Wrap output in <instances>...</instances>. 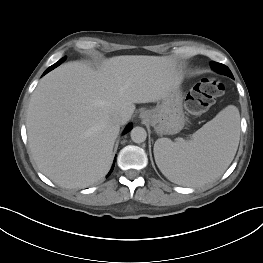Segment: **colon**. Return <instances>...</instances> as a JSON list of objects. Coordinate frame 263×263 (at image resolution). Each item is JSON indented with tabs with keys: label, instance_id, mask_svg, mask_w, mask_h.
Wrapping results in <instances>:
<instances>
[{
	"label": "colon",
	"instance_id": "5ec220e1",
	"mask_svg": "<svg viewBox=\"0 0 263 263\" xmlns=\"http://www.w3.org/2000/svg\"><path fill=\"white\" fill-rule=\"evenodd\" d=\"M224 85L216 78H205L187 94L185 109L192 116L204 114L223 95Z\"/></svg>",
	"mask_w": 263,
	"mask_h": 263
}]
</instances>
